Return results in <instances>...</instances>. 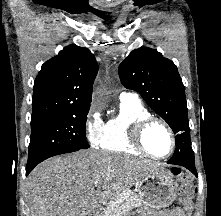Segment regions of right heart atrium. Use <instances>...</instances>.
Returning a JSON list of instances; mask_svg holds the SVG:
<instances>
[{
  "instance_id": "d8ad5b80",
  "label": "right heart atrium",
  "mask_w": 221,
  "mask_h": 216,
  "mask_svg": "<svg viewBox=\"0 0 221 216\" xmlns=\"http://www.w3.org/2000/svg\"><path fill=\"white\" fill-rule=\"evenodd\" d=\"M103 127L104 122L98 108L96 106H91L88 110L84 125L85 137L91 146L96 147L99 145Z\"/></svg>"
}]
</instances>
